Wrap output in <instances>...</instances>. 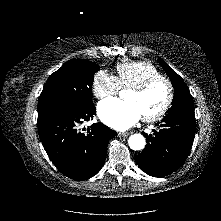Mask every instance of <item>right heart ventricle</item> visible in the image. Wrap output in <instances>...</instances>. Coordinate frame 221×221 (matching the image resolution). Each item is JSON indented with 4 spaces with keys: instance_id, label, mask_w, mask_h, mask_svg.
<instances>
[{
    "instance_id": "1",
    "label": "right heart ventricle",
    "mask_w": 221,
    "mask_h": 221,
    "mask_svg": "<svg viewBox=\"0 0 221 221\" xmlns=\"http://www.w3.org/2000/svg\"><path fill=\"white\" fill-rule=\"evenodd\" d=\"M117 79L121 87L130 89L144 81L162 76L160 71L149 61H127L116 65Z\"/></svg>"
}]
</instances>
